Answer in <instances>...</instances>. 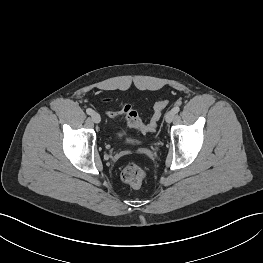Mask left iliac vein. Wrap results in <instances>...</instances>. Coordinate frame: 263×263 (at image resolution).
<instances>
[{"label": "left iliac vein", "mask_w": 263, "mask_h": 263, "mask_svg": "<svg viewBox=\"0 0 263 263\" xmlns=\"http://www.w3.org/2000/svg\"><path fill=\"white\" fill-rule=\"evenodd\" d=\"M175 112L173 110H170L165 115V120L167 123H171L173 119L175 118Z\"/></svg>", "instance_id": "obj_1"}]
</instances>
